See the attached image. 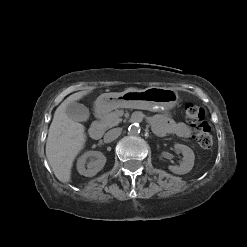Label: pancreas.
Wrapping results in <instances>:
<instances>
[{
  "mask_svg": "<svg viewBox=\"0 0 247 247\" xmlns=\"http://www.w3.org/2000/svg\"><path fill=\"white\" fill-rule=\"evenodd\" d=\"M122 114V110H115L113 112L106 113L103 116H101L99 120V125L104 130L117 126L122 121V119L120 118Z\"/></svg>",
  "mask_w": 247,
  "mask_h": 247,
  "instance_id": "1",
  "label": "pancreas"
}]
</instances>
